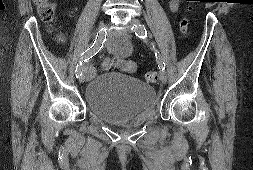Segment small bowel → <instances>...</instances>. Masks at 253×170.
<instances>
[{
    "instance_id": "c3829d8e",
    "label": "small bowel",
    "mask_w": 253,
    "mask_h": 170,
    "mask_svg": "<svg viewBox=\"0 0 253 170\" xmlns=\"http://www.w3.org/2000/svg\"><path fill=\"white\" fill-rule=\"evenodd\" d=\"M180 1L181 0H170L169 1V8H170V10L172 12H177L178 11L179 5H180ZM119 46L122 49L126 50V51L129 49V44L125 40L121 41L119 43ZM103 67L105 69H109V68H112V67H117L120 70H123L125 72H132V71H134L136 69V64H135L134 61L129 60V59H127L124 56H119V57L114 58L113 60L106 61L103 64Z\"/></svg>"
}]
</instances>
